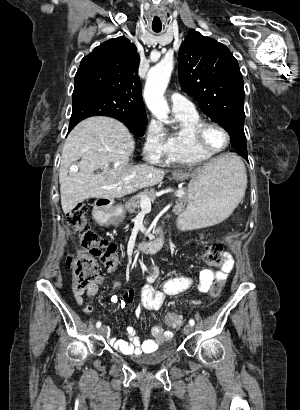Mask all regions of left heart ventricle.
Wrapping results in <instances>:
<instances>
[{
    "label": "left heart ventricle",
    "mask_w": 300,
    "mask_h": 410,
    "mask_svg": "<svg viewBox=\"0 0 300 410\" xmlns=\"http://www.w3.org/2000/svg\"><path fill=\"white\" fill-rule=\"evenodd\" d=\"M205 141L210 148L219 149L226 144V136L219 128L211 126L205 131Z\"/></svg>",
    "instance_id": "b2bd125f"
}]
</instances>
